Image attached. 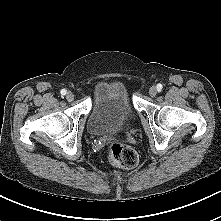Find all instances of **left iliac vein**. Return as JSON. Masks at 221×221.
Masks as SVG:
<instances>
[{
	"mask_svg": "<svg viewBox=\"0 0 221 221\" xmlns=\"http://www.w3.org/2000/svg\"><path fill=\"white\" fill-rule=\"evenodd\" d=\"M158 93V90H157V87L155 86H152L150 89H149V94L151 97H155Z\"/></svg>",
	"mask_w": 221,
	"mask_h": 221,
	"instance_id": "obj_1",
	"label": "left iliac vein"
}]
</instances>
